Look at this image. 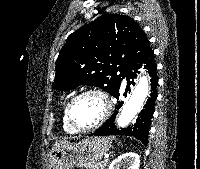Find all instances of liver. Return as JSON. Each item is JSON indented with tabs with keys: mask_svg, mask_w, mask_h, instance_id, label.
Masks as SVG:
<instances>
[{
	"mask_svg": "<svg viewBox=\"0 0 200 169\" xmlns=\"http://www.w3.org/2000/svg\"><path fill=\"white\" fill-rule=\"evenodd\" d=\"M68 144H70V143H69L68 141H66V140H59V141H56V142L54 143V145H53L52 150L57 149V148H59V147H61V146L68 145Z\"/></svg>",
	"mask_w": 200,
	"mask_h": 169,
	"instance_id": "6515ba94",
	"label": "liver"
}]
</instances>
